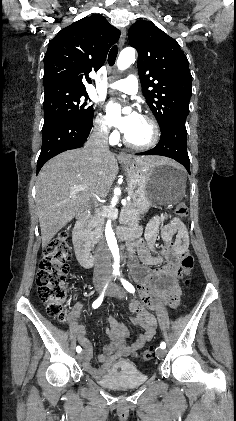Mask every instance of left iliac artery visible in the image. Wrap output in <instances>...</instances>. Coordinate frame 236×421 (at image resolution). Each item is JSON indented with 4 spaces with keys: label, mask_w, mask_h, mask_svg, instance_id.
<instances>
[{
    "label": "left iliac artery",
    "mask_w": 236,
    "mask_h": 421,
    "mask_svg": "<svg viewBox=\"0 0 236 421\" xmlns=\"http://www.w3.org/2000/svg\"><path fill=\"white\" fill-rule=\"evenodd\" d=\"M116 275H120V273H117ZM120 280H121V282H122V284H123L124 288H125L128 292H130V293H134V292H135V288H134V286H133L131 283H129L128 281L124 280L123 278H121ZM165 347H166L165 342H161V344H160V348L165 349Z\"/></svg>",
    "instance_id": "44dca946"
}]
</instances>
